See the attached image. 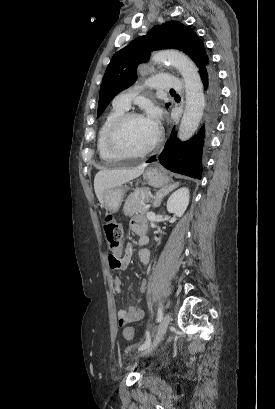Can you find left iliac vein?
<instances>
[{
	"instance_id": "left-iliac-vein-1",
	"label": "left iliac vein",
	"mask_w": 275,
	"mask_h": 409,
	"mask_svg": "<svg viewBox=\"0 0 275 409\" xmlns=\"http://www.w3.org/2000/svg\"><path fill=\"white\" fill-rule=\"evenodd\" d=\"M170 320H171L170 314L169 313L165 314V316L162 318L159 325L155 328V336H154V339L151 345L145 350H142L139 353L140 356L151 353V351L154 350V348L158 346V344L161 342V340L163 339L164 335L167 332L168 326L170 324Z\"/></svg>"
}]
</instances>
